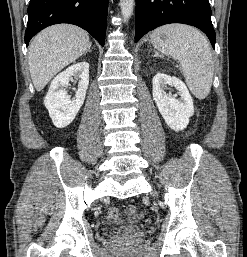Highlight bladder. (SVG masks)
Here are the masks:
<instances>
[{
	"label": "bladder",
	"mask_w": 247,
	"mask_h": 257,
	"mask_svg": "<svg viewBox=\"0 0 247 257\" xmlns=\"http://www.w3.org/2000/svg\"><path fill=\"white\" fill-rule=\"evenodd\" d=\"M142 230L140 225H125L119 228V232L123 235H132Z\"/></svg>",
	"instance_id": "1"
}]
</instances>
